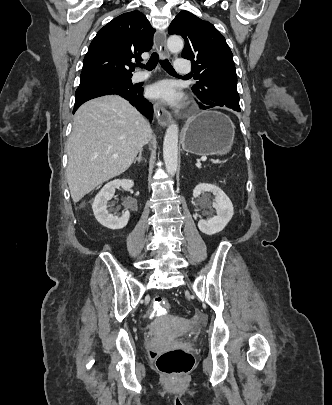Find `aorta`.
I'll use <instances>...</instances> for the list:
<instances>
[{
  "label": "aorta",
  "instance_id": "obj_1",
  "mask_svg": "<svg viewBox=\"0 0 332 405\" xmlns=\"http://www.w3.org/2000/svg\"><path fill=\"white\" fill-rule=\"evenodd\" d=\"M167 47L171 53L177 54L184 47L183 39L171 36L167 40ZM178 125L172 123L166 130L163 142V158L168 174L175 175L178 168Z\"/></svg>",
  "mask_w": 332,
  "mask_h": 405
}]
</instances>
